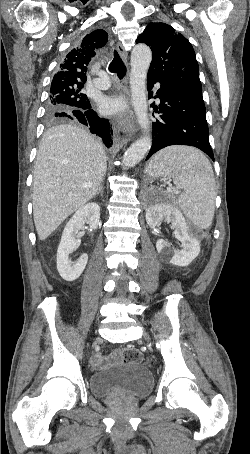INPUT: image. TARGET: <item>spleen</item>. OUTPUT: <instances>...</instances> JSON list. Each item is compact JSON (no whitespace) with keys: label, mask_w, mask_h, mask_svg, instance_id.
<instances>
[{"label":"spleen","mask_w":250,"mask_h":454,"mask_svg":"<svg viewBox=\"0 0 250 454\" xmlns=\"http://www.w3.org/2000/svg\"><path fill=\"white\" fill-rule=\"evenodd\" d=\"M148 174L153 179L172 177L183 189L178 203L185 216L198 228L211 226L216 184L212 166L201 151L180 145L167 147L152 157Z\"/></svg>","instance_id":"obj_1"}]
</instances>
